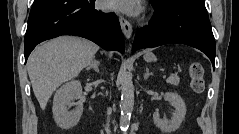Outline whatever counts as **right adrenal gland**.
I'll use <instances>...</instances> for the list:
<instances>
[{
	"instance_id": "obj_1",
	"label": "right adrenal gland",
	"mask_w": 239,
	"mask_h": 134,
	"mask_svg": "<svg viewBox=\"0 0 239 134\" xmlns=\"http://www.w3.org/2000/svg\"><path fill=\"white\" fill-rule=\"evenodd\" d=\"M99 65H100V62L94 58L93 61L89 64V66L86 67V70H90L92 68L97 73H99Z\"/></svg>"
}]
</instances>
